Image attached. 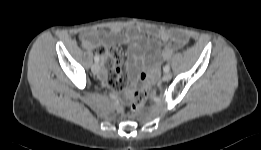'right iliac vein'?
<instances>
[{
    "instance_id": "1",
    "label": "right iliac vein",
    "mask_w": 261,
    "mask_h": 150,
    "mask_svg": "<svg viewBox=\"0 0 261 150\" xmlns=\"http://www.w3.org/2000/svg\"><path fill=\"white\" fill-rule=\"evenodd\" d=\"M91 70L94 74H98L100 72V66L98 63L92 65Z\"/></svg>"
}]
</instances>
